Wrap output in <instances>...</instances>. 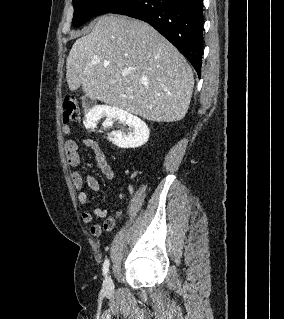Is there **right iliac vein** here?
<instances>
[{
    "instance_id": "obj_1",
    "label": "right iliac vein",
    "mask_w": 284,
    "mask_h": 319,
    "mask_svg": "<svg viewBox=\"0 0 284 319\" xmlns=\"http://www.w3.org/2000/svg\"><path fill=\"white\" fill-rule=\"evenodd\" d=\"M103 290L106 294H111L114 290L113 280L110 275H107L103 281Z\"/></svg>"
}]
</instances>
